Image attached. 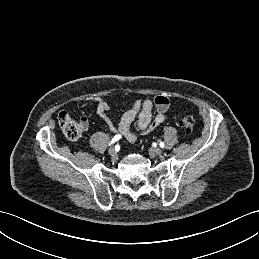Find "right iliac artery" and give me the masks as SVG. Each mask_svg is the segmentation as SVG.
Masks as SVG:
<instances>
[{
	"label": "right iliac artery",
	"instance_id": "82829eb1",
	"mask_svg": "<svg viewBox=\"0 0 259 259\" xmlns=\"http://www.w3.org/2000/svg\"><path fill=\"white\" fill-rule=\"evenodd\" d=\"M120 138H121V135H116V136L112 139L111 144L114 143V142H116V141H118ZM109 145H110V144H109Z\"/></svg>",
	"mask_w": 259,
	"mask_h": 259
}]
</instances>
